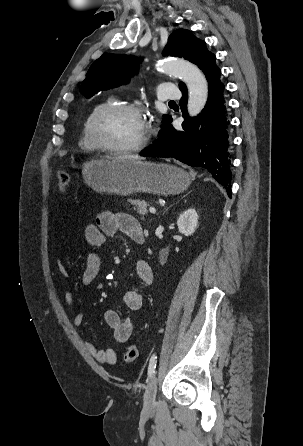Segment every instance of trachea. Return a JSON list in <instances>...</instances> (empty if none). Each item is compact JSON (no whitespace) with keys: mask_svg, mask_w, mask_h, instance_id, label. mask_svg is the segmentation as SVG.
Here are the masks:
<instances>
[{"mask_svg":"<svg viewBox=\"0 0 303 446\" xmlns=\"http://www.w3.org/2000/svg\"><path fill=\"white\" fill-rule=\"evenodd\" d=\"M169 103H175L174 101H170Z\"/></svg>","mask_w":303,"mask_h":446,"instance_id":"trachea-1","label":"trachea"}]
</instances>
